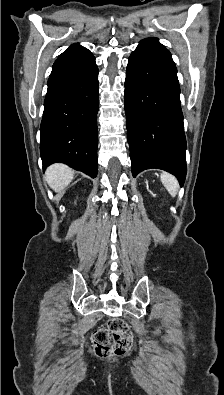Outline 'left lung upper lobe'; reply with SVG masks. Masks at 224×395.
<instances>
[{
    "instance_id": "1",
    "label": "left lung upper lobe",
    "mask_w": 224,
    "mask_h": 395,
    "mask_svg": "<svg viewBox=\"0 0 224 395\" xmlns=\"http://www.w3.org/2000/svg\"><path fill=\"white\" fill-rule=\"evenodd\" d=\"M145 40H151V41H156V42H158V39H157V38H147V39H145Z\"/></svg>"
}]
</instances>
